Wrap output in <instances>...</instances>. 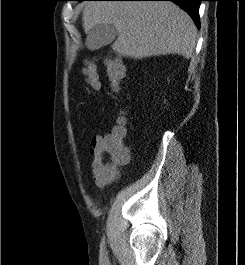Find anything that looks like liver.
Listing matches in <instances>:
<instances>
[{
	"mask_svg": "<svg viewBox=\"0 0 245 265\" xmlns=\"http://www.w3.org/2000/svg\"><path fill=\"white\" fill-rule=\"evenodd\" d=\"M82 22L85 33L97 24H112L118 32L112 49L130 58L166 54L190 58L196 45L193 20L168 1H90Z\"/></svg>",
	"mask_w": 245,
	"mask_h": 265,
	"instance_id": "6515ba94",
	"label": "liver"
}]
</instances>
